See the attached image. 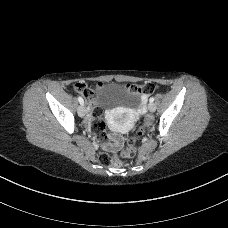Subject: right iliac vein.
<instances>
[{"instance_id": "1", "label": "right iliac vein", "mask_w": 228, "mask_h": 228, "mask_svg": "<svg viewBox=\"0 0 228 228\" xmlns=\"http://www.w3.org/2000/svg\"><path fill=\"white\" fill-rule=\"evenodd\" d=\"M78 115L80 117H84L85 116V107L83 104H81L79 107H78Z\"/></svg>"}]
</instances>
